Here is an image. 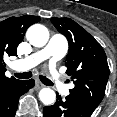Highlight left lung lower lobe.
I'll list each match as a JSON object with an SVG mask.
<instances>
[{"instance_id":"obj_1","label":"left lung lower lobe","mask_w":117,"mask_h":117,"mask_svg":"<svg viewBox=\"0 0 117 117\" xmlns=\"http://www.w3.org/2000/svg\"><path fill=\"white\" fill-rule=\"evenodd\" d=\"M57 100L54 105L44 107V117H89L94 112L70 95L62 100L57 94Z\"/></svg>"}]
</instances>
